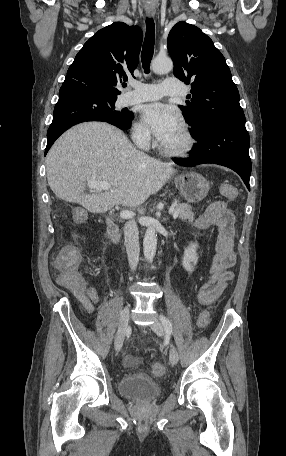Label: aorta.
I'll list each match as a JSON object with an SVG mask.
<instances>
[{
  "instance_id": "aorta-1",
  "label": "aorta",
  "mask_w": 286,
  "mask_h": 456,
  "mask_svg": "<svg viewBox=\"0 0 286 456\" xmlns=\"http://www.w3.org/2000/svg\"><path fill=\"white\" fill-rule=\"evenodd\" d=\"M173 69V62L168 57H156L152 62V70L156 74H166ZM157 249V234L153 227H149L144 235L143 252L148 262L153 261Z\"/></svg>"
}]
</instances>
